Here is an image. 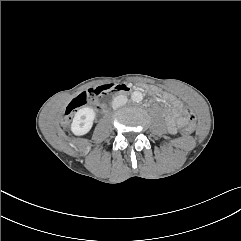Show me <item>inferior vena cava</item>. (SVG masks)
<instances>
[{
	"label": "inferior vena cava",
	"mask_w": 241,
	"mask_h": 241,
	"mask_svg": "<svg viewBox=\"0 0 241 241\" xmlns=\"http://www.w3.org/2000/svg\"><path fill=\"white\" fill-rule=\"evenodd\" d=\"M127 97L126 96H124V95H119V96H117V97H115L114 99H113V102H112V107L114 108V109H116V108H118V107H121V106H123V105H125L126 103H127Z\"/></svg>",
	"instance_id": "inferior-vena-cava-1"
}]
</instances>
